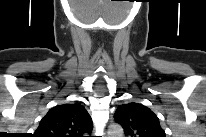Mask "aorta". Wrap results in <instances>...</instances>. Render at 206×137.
Returning <instances> with one entry per match:
<instances>
[{
    "mask_svg": "<svg viewBox=\"0 0 206 137\" xmlns=\"http://www.w3.org/2000/svg\"><path fill=\"white\" fill-rule=\"evenodd\" d=\"M123 135V129L120 125L113 124L109 127L108 136L109 137H121Z\"/></svg>",
    "mask_w": 206,
    "mask_h": 137,
    "instance_id": "aorta-1",
    "label": "aorta"
}]
</instances>
